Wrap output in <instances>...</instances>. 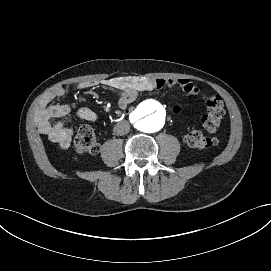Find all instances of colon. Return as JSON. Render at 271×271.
<instances>
[{
	"mask_svg": "<svg viewBox=\"0 0 271 271\" xmlns=\"http://www.w3.org/2000/svg\"><path fill=\"white\" fill-rule=\"evenodd\" d=\"M206 113L202 118V125L210 133L215 132L220 126L224 116V103L216 94L205 95ZM178 108V107H176ZM75 133L73 145L80 154H95L99 150V142L93 129L86 125H74ZM185 142L188 146L196 149H205L217 144L216 137L205 135L199 130H193L186 134Z\"/></svg>",
	"mask_w": 271,
	"mask_h": 271,
	"instance_id": "obj_1",
	"label": "colon"
}]
</instances>
